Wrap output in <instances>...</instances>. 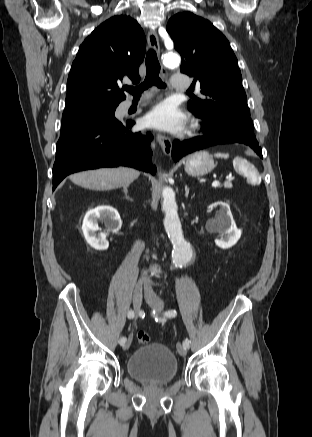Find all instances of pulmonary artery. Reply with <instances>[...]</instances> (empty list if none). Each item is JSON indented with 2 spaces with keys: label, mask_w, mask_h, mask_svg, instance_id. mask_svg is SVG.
Listing matches in <instances>:
<instances>
[{
  "label": "pulmonary artery",
  "mask_w": 312,
  "mask_h": 437,
  "mask_svg": "<svg viewBox=\"0 0 312 437\" xmlns=\"http://www.w3.org/2000/svg\"><path fill=\"white\" fill-rule=\"evenodd\" d=\"M190 83V79L185 74H174L171 78V84L176 89H187ZM144 99H146V96H142L140 101Z\"/></svg>",
  "instance_id": "obj_1"
}]
</instances>
